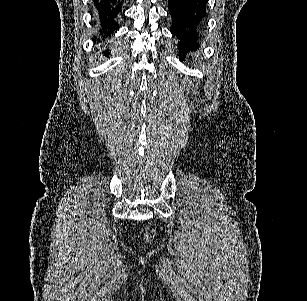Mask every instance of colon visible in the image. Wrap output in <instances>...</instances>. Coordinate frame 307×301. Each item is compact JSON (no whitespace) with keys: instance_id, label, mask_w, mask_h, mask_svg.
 Returning <instances> with one entry per match:
<instances>
[{"instance_id":"1","label":"colon","mask_w":307,"mask_h":301,"mask_svg":"<svg viewBox=\"0 0 307 301\" xmlns=\"http://www.w3.org/2000/svg\"><path fill=\"white\" fill-rule=\"evenodd\" d=\"M153 230L152 229H148L145 236L147 239H151L153 237Z\"/></svg>"}]
</instances>
